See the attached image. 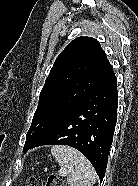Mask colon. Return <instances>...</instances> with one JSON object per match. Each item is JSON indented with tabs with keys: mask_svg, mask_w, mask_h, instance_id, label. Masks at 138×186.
I'll return each mask as SVG.
<instances>
[{
	"mask_svg": "<svg viewBox=\"0 0 138 186\" xmlns=\"http://www.w3.org/2000/svg\"><path fill=\"white\" fill-rule=\"evenodd\" d=\"M42 182H43L42 176H34L29 179L27 186H43ZM46 186H66V185L60 177L51 174L47 177Z\"/></svg>",
	"mask_w": 138,
	"mask_h": 186,
	"instance_id": "1",
	"label": "colon"
}]
</instances>
